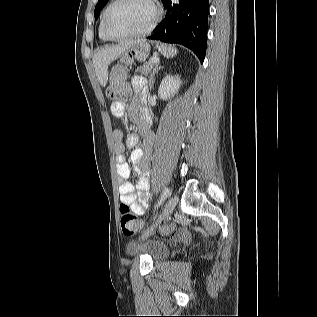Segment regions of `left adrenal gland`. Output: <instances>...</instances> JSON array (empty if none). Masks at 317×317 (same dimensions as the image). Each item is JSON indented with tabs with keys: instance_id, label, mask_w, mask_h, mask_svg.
I'll use <instances>...</instances> for the list:
<instances>
[{
	"instance_id": "1",
	"label": "left adrenal gland",
	"mask_w": 317,
	"mask_h": 317,
	"mask_svg": "<svg viewBox=\"0 0 317 317\" xmlns=\"http://www.w3.org/2000/svg\"><path fill=\"white\" fill-rule=\"evenodd\" d=\"M161 68H162V67L157 64L156 67L154 68L152 74L150 75V78H149V87H150V90L153 89L154 75H155L156 73H158V71H159Z\"/></svg>"
}]
</instances>
